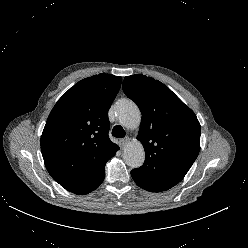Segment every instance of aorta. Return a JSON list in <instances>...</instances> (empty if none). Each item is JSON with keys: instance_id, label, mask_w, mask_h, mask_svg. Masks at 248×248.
<instances>
[{"instance_id": "762f6f07", "label": "aorta", "mask_w": 248, "mask_h": 248, "mask_svg": "<svg viewBox=\"0 0 248 248\" xmlns=\"http://www.w3.org/2000/svg\"><path fill=\"white\" fill-rule=\"evenodd\" d=\"M117 117L121 125L128 129H136L141 122V112L138 106L129 99H123L117 104ZM123 158L131 168L140 167L145 160L143 145L139 141H132L124 148Z\"/></svg>"}]
</instances>
